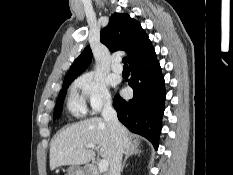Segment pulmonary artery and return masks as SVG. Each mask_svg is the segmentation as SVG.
<instances>
[{"mask_svg":"<svg viewBox=\"0 0 233 175\" xmlns=\"http://www.w3.org/2000/svg\"><path fill=\"white\" fill-rule=\"evenodd\" d=\"M112 71L115 72V73H118V74L122 73L123 68H122V66H121V64H120L119 59H115V60L113 61V64H112Z\"/></svg>","mask_w":233,"mask_h":175,"instance_id":"pulmonary-artery-1","label":"pulmonary artery"}]
</instances>
